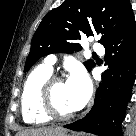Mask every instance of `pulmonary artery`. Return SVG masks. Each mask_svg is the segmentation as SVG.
<instances>
[{"instance_id": "1", "label": "pulmonary artery", "mask_w": 136, "mask_h": 136, "mask_svg": "<svg viewBox=\"0 0 136 136\" xmlns=\"http://www.w3.org/2000/svg\"><path fill=\"white\" fill-rule=\"evenodd\" d=\"M93 50L98 54L104 53V47L98 42H95L93 44ZM55 62H56V57L54 55H49L46 58L45 65H47L49 68L52 69Z\"/></svg>"}]
</instances>
